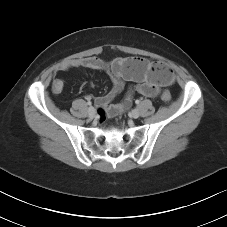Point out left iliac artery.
<instances>
[{"label": "left iliac artery", "instance_id": "left-iliac-artery-1", "mask_svg": "<svg viewBox=\"0 0 227 227\" xmlns=\"http://www.w3.org/2000/svg\"><path fill=\"white\" fill-rule=\"evenodd\" d=\"M135 103H136V104H139V103H140V101H139V100H136V101H135Z\"/></svg>", "mask_w": 227, "mask_h": 227}]
</instances>
